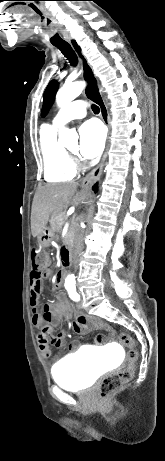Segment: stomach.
<instances>
[{"mask_svg": "<svg viewBox=\"0 0 165 461\" xmlns=\"http://www.w3.org/2000/svg\"><path fill=\"white\" fill-rule=\"evenodd\" d=\"M54 231L50 227H45L42 233L38 236V242L40 246L46 248L50 245L53 238Z\"/></svg>", "mask_w": 165, "mask_h": 461, "instance_id": "obj_1", "label": "stomach"}]
</instances>
